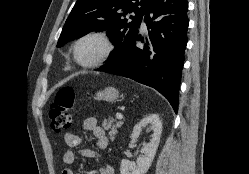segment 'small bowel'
<instances>
[{"label": "small bowel", "mask_w": 249, "mask_h": 174, "mask_svg": "<svg viewBox=\"0 0 249 174\" xmlns=\"http://www.w3.org/2000/svg\"><path fill=\"white\" fill-rule=\"evenodd\" d=\"M82 129L86 132H91L96 144L99 149L107 148L109 141L105 134L103 128L98 126L97 120L94 117H88L82 122ZM64 141L66 145L70 148H77L80 146L82 139L79 135L74 133H66L64 135ZM80 155L85 158L98 159L100 154L98 151L93 149H81ZM76 155L73 151L68 150L63 154V162L67 165H71L75 162ZM99 174H114L113 168L107 164L103 163L98 168ZM62 174H74L73 171L69 168L63 170Z\"/></svg>", "instance_id": "c3829d8e"}]
</instances>
